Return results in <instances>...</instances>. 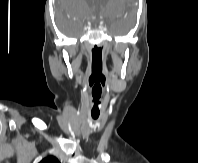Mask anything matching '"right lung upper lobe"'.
I'll list each match as a JSON object with an SVG mask.
<instances>
[{
	"instance_id": "obj_1",
	"label": "right lung upper lobe",
	"mask_w": 198,
	"mask_h": 163,
	"mask_svg": "<svg viewBox=\"0 0 198 163\" xmlns=\"http://www.w3.org/2000/svg\"><path fill=\"white\" fill-rule=\"evenodd\" d=\"M39 163H60V162L56 157L50 156L42 159Z\"/></svg>"
}]
</instances>
